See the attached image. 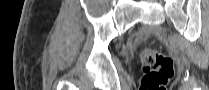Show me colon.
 Masks as SVG:
<instances>
[{"label": "colon", "mask_w": 209, "mask_h": 90, "mask_svg": "<svg viewBox=\"0 0 209 90\" xmlns=\"http://www.w3.org/2000/svg\"><path fill=\"white\" fill-rule=\"evenodd\" d=\"M140 60L143 71L140 90H167L174 74L173 59L156 50L146 49Z\"/></svg>", "instance_id": "5ec220e1"}]
</instances>
